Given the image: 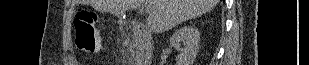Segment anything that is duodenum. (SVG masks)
<instances>
[{
  "mask_svg": "<svg viewBox=\"0 0 309 65\" xmlns=\"http://www.w3.org/2000/svg\"><path fill=\"white\" fill-rule=\"evenodd\" d=\"M130 37L139 45V62L137 65H151L153 41L151 34L144 26L133 24L129 31Z\"/></svg>",
  "mask_w": 309,
  "mask_h": 65,
  "instance_id": "obj_1",
  "label": "duodenum"
}]
</instances>
